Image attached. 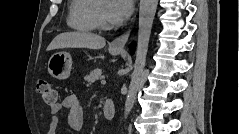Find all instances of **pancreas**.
Returning <instances> with one entry per match:
<instances>
[{"label": "pancreas", "mask_w": 239, "mask_h": 134, "mask_svg": "<svg viewBox=\"0 0 239 134\" xmlns=\"http://www.w3.org/2000/svg\"><path fill=\"white\" fill-rule=\"evenodd\" d=\"M102 70L97 68L93 71H91L88 75L85 76V81L88 83H94L96 82L99 78H101Z\"/></svg>", "instance_id": "cf45deb5"}]
</instances>
